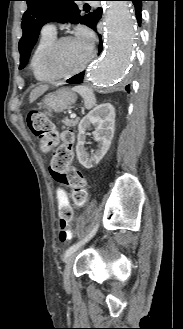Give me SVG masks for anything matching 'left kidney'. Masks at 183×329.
Listing matches in <instances>:
<instances>
[{"label":"left kidney","mask_w":183,"mask_h":329,"mask_svg":"<svg viewBox=\"0 0 183 329\" xmlns=\"http://www.w3.org/2000/svg\"><path fill=\"white\" fill-rule=\"evenodd\" d=\"M93 125L95 131L92 133L99 147L95 153L89 155L84 148L86 141V130ZM115 109L110 103L98 105L82 118L78 125V136L76 154L78 161L86 169L92 168L107 153L111 140L114 136Z\"/></svg>","instance_id":"5707ae66"}]
</instances>
